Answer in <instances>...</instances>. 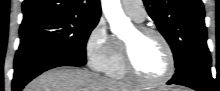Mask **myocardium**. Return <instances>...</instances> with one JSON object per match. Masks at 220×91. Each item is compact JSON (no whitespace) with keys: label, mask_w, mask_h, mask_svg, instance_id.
Wrapping results in <instances>:
<instances>
[{"label":"myocardium","mask_w":220,"mask_h":91,"mask_svg":"<svg viewBox=\"0 0 220 91\" xmlns=\"http://www.w3.org/2000/svg\"><path fill=\"white\" fill-rule=\"evenodd\" d=\"M135 31L137 32L138 35L140 36H155L157 39L160 40V42L163 44L167 57H168V69L164 75H162L159 78L156 79H149L144 77L143 75L140 74V72L137 70L134 61H133V55H132V50L130 45L123 41L122 46H123V60H124V67L126 70L127 75L135 80L136 82L146 85V86H156L165 83L168 81L174 74L175 72V67H176V60H175V54L173 51V48L167 38L158 30L147 27V26H136Z\"/></svg>","instance_id":"obj_1"}]
</instances>
